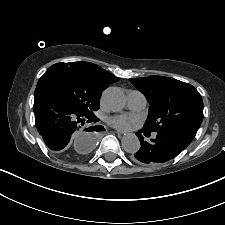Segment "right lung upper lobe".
I'll return each mask as SVG.
<instances>
[{
  "instance_id": "1",
  "label": "right lung upper lobe",
  "mask_w": 225,
  "mask_h": 225,
  "mask_svg": "<svg viewBox=\"0 0 225 225\" xmlns=\"http://www.w3.org/2000/svg\"><path fill=\"white\" fill-rule=\"evenodd\" d=\"M70 65L84 72L91 82L101 91L105 90L108 85L119 79L103 68L89 62H70Z\"/></svg>"
}]
</instances>
